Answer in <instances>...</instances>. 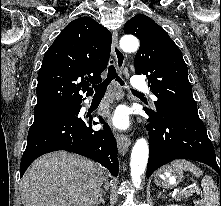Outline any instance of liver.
Masks as SVG:
<instances>
[{
	"instance_id": "obj_1",
	"label": "liver",
	"mask_w": 221,
	"mask_h": 206,
	"mask_svg": "<svg viewBox=\"0 0 221 206\" xmlns=\"http://www.w3.org/2000/svg\"><path fill=\"white\" fill-rule=\"evenodd\" d=\"M105 169L77 154L58 151L35 160L20 182L23 206H94Z\"/></svg>"
}]
</instances>
